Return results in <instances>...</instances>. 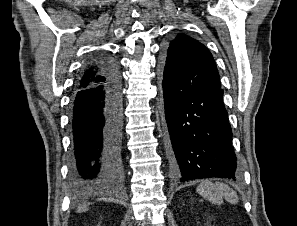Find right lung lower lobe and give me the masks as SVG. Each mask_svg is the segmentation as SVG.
I'll return each instance as SVG.
<instances>
[{
	"label": "right lung lower lobe",
	"instance_id": "98d812e1",
	"mask_svg": "<svg viewBox=\"0 0 297 226\" xmlns=\"http://www.w3.org/2000/svg\"><path fill=\"white\" fill-rule=\"evenodd\" d=\"M103 80L76 89L72 106L74 190L85 193L123 179L121 163L122 98L116 64L100 59Z\"/></svg>",
	"mask_w": 297,
	"mask_h": 226
}]
</instances>
